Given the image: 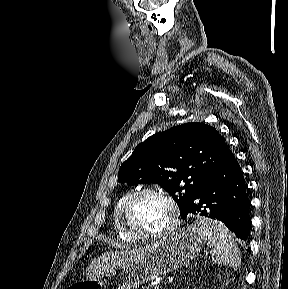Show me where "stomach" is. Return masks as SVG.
I'll return each mask as SVG.
<instances>
[{
	"instance_id": "0dacf381",
	"label": "stomach",
	"mask_w": 288,
	"mask_h": 289,
	"mask_svg": "<svg viewBox=\"0 0 288 289\" xmlns=\"http://www.w3.org/2000/svg\"><path fill=\"white\" fill-rule=\"evenodd\" d=\"M202 245L203 239L192 225L180 228L147 246L128 264L96 278L73 283L68 289H134L188 264L201 251Z\"/></svg>"
}]
</instances>
